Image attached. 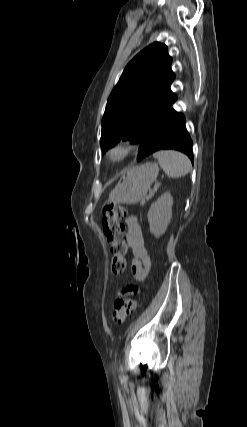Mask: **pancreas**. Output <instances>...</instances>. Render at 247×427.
I'll return each instance as SVG.
<instances>
[{
    "label": "pancreas",
    "mask_w": 247,
    "mask_h": 427,
    "mask_svg": "<svg viewBox=\"0 0 247 427\" xmlns=\"http://www.w3.org/2000/svg\"><path fill=\"white\" fill-rule=\"evenodd\" d=\"M156 190H157V185L154 187L152 191L149 192V194L145 197V199L147 200L150 199L153 196V194L156 192Z\"/></svg>",
    "instance_id": "obj_1"
}]
</instances>
